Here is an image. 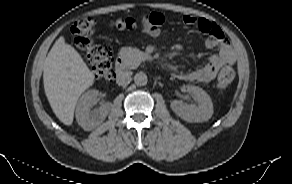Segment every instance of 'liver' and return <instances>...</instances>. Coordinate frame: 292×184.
Masks as SVG:
<instances>
[{"mask_svg":"<svg viewBox=\"0 0 292 184\" xmlns=\"http://www.w3.org/2000/svg\"><path fill=\"white\" fill-rule=\"evenodd\" d=\"M46 97L56 117L71 125L80 95L94 83V75L63 36L49 51L43 69Z\"/></svg>","mask_w":292,"mask_h":184,"instance_id":"6515ba94","label":"liver"}]
</instances>
